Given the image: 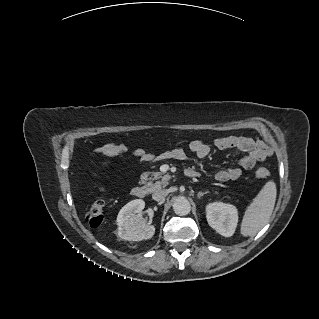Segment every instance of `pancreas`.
Here are the masks:
<instances>
[{
    "label": "pancreas",
    "instance_id": "1",
    "mask_svg": "<svg viewBox=\"0 0 319 319\" xmlns=\"http://www.w3.org/2000/svg\"><path fill=\"white\" fill-rule=\"evenodd\" d=\"M169 179V175H162L160 172H155L151 177H146L143 181V184L148 192H154L158 189L166 187L169 183ZM155 180L158 181L154 183Z\"/></svg>",
    "mask_w": 319,
    "mask_h": 319
}]
</instances>
